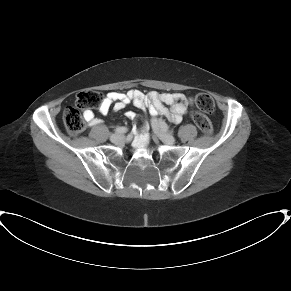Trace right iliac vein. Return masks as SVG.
Segmentation results:
<instances>
[{
    "mask_svg": "<svg viewBox=\"0 0 291 291\" xmlns=\"http://www.w3.org/2000/svg\"><path fill=\"white\" fill-rule=\"evenodd\" d=\"M124 139V136L121 135V134H113L111 137H110V140L113 142V143H118L120 141H122Z\"/></svg>",
    "mask_w": 291,
    "mask_h": 291,
    "instance_id": "obj_1",
    "label": "right iliac vein"
}]
</instances>
